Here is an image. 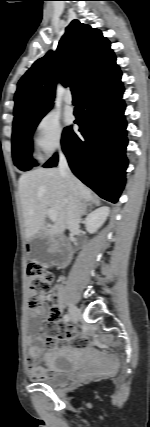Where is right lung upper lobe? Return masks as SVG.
Here are the masks:
<instances>
[{
    "instance_id": "obj_1",
    "label": "right lung upper lobe",
    "mask_w": 150,
    "mask_h": 427,
    "mask_svg": "<svg viewBox=\"0 0 150 427\" xmlns=\"http://www.w3.org/2000/svg\"><path fill=\"white\" fill-rule=\"evenodd\" d=\"M110 42L100 30L73 20L56 52L38 59L18 83L14 122L52 106L57 79L68 86L75 82L80 92L116 66Z\"/></svg>"
}]
</instances>
